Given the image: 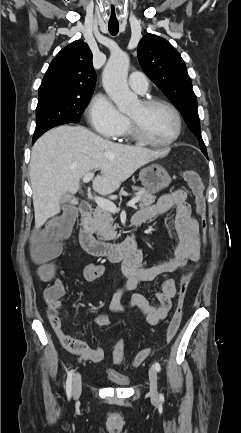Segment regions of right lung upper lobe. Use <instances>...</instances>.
<instances>
[{
    "instance_id": "obj_1",
    "label": "right lung upper lobe",
    "mask_w": 241,
    "mask_h": 433,
    "mask_svg": "<svg viewBox=\"0 0 241 433\" xmlns=\"http://www.w3.org/2000/svg\"><path fill=\"white\" fill-rule=\"evenodd\" d=\"M95 82L92 52L85 42L77 40L52 60L39 87L38 100L92 96Z\"/></svg>"
}]
</instances>
